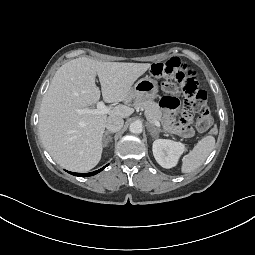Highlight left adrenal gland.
Instances as JSON below:
<instances>
[{"mask_svg": "<svg viewBox=\"0 0 255 255\" xmlns=\"http://www.w3.org/2000/svg\"><path fill=\"white\" fill-rule=\"evenodd\" d=\"M160 129H155L154 131H152V136L155 137L157 136L158 132H160Z\"/></svg>", "mask_w": 255, "mask_h": 255, "instance_id": "obj_1", "label": "left adrenal gland"}]
</instances>
